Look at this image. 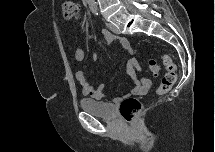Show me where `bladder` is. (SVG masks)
I'll list each match as a JSON object with an SVG mask.
<instances>
[{
  "label": "bladder",
  "instance_id": "1",
  "mask_svg": "<svg viewBox=\"0 0 215 152\" xmlns=\"http://www.w3.org/2000/svg\"><path fill=\"white\" fill-rule=\"evenodd\" d=\"M81 108L93 115L103 118H113L115 116V107L112 103L100 102L90 98H82Z\"/></svg>",
  "mask_w": 215,
  "mask_h": 152
}]
</instances>
